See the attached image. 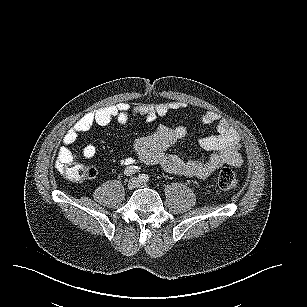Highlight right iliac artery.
Returning a JSON list of instances; mask_svg holds the SVG:
<instances>
[{
  "instance_id": "right-iliac-artery-1",
  "label": "right iliac artery",
  "mask_w": 307,
  "mask_h": 307,
  "mask_svg": "<svg viewBox=\"0 0 307 307\" xmlns=\"http://www.w3.org/2000/svg\"><path fill=\"white\" fill-rule=\"evenodd\" d=\"M139 171V168L136 167V166H130V167H127L125 170H124V175L125 176H131L132 174H135V172H138ZM140 172V171H139Z\"/></svg>"
}]
</instances>
